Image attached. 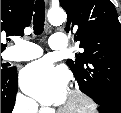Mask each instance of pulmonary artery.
<instances>
[{
	"mask_svg": "<svg viewBox=\"0 0 121 113\" xmlns=\"http://www.w3.org/2000/svg\"><path fill=\"white\" fill-rule=\"evenodd\" d=\"M49 46L53 50L66 49V35L54 33L49 39ZM43 50L36 44L29 41H22L9 49L7 52V59L13 61H29L40 57Z\"/></svg>",
	"mask_w": 121,
	"mask_h": 113,
	"instance_id": "1",
	"label": "pulmonary artery"
}]
</instances>
